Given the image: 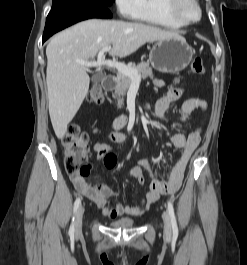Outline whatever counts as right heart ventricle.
Returning a JSON list of instances; mask_svg holds the SVG:
<instances>
[{
    "label": "right heart ventricle",
    "instance_id": "obj_1",
    "mask_svg": "<svg viewBox=\"0 0 247 265\" xmlns=\"http://www.w3.org/2000/svg\"><path fill=\"white\" fill-rule=\"evenodd\" d=\"M167 2L168 0H139V9L134 19L170 29L183 27L170 14Z\"/></svg>",
    "mask_w": 247,
    "mask_h": 265
}]
</instances>
